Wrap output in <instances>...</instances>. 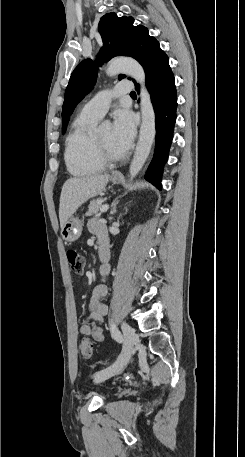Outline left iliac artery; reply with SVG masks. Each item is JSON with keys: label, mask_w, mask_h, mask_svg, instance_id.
<instances>
[{"label": "left iliac artery", "mask_w": 245, "mask_h": 457, "mask_svg": "<svg viewBox=\"0 0 245 457\" xmlns=\"http://www.w3.org/2000/svg\"><path fill=\"white\" fill-rule=\"evenodd\" d=\"M110 329H111L113 338H114L117 342L121 343V342H122V335H121V333L118 331V329L116 328V325H115V323H114L113 317H112V319H111V321H110Z\"/></svg>", "instance_id": "44dca946"}]
</instances>
